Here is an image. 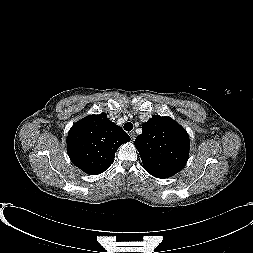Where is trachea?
<instances>
[{
    "label": "trachea",
    "mask_w": 253,
    "mask_h": 253,
    "mask_svg": "<svg viewBox=\"0 0 253 253\" xmlns=\"http://www.w3.org/2000/svg\"><path fill=\"white\" fill-rule=\"evenodd\" d=\"M124 129L126 131H131L133 129V124L131 122H127L125 125H124Z\"/></svg>",
    "instance_id": "1"
}]
</instances>
